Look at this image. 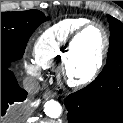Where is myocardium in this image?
I'll return each mask as SVG.
<instances>
[{
    "label": "myocardium",
    "mask_w": 123,
    "mask_h": 123,
    "mask_svg": "<svg viewBox=\"0 0 123 123\" xmlns=\"http://www.w3.org/2000/svg\"><path fill=\"white\" fill-rule=\"evenodd\" d=\"M92 26H96L100 29L104 38V43L93 66L87 72L79 73L75 67V48L81 36ZM109 44L110 40L108 32L102 24L95 21H88L81 28H79L70 40L66 58L61 65V72L65 83L70 86L77 87L92 82L101 70L108 52Z\"/></svg>",
    "instance_id": "f54148a6"
}]
</instances>
